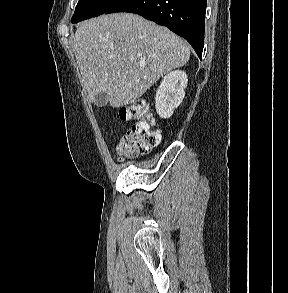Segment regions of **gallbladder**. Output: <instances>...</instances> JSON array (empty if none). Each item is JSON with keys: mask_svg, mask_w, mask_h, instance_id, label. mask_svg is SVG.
Listing matches in <instances>:
<instances>
[{"mask_svg": "<svg viewBox=\"0 0 288 293\" xmlns=\"http://www.w3.org/2000/svg\"><path fill=\"white\" fill-rule=\"evenodd\" d=\"M108 103V96L105 92H99L94 100V104L98 107H104Z\"/></svg>", "mask_w": 288, "mask_h": 293, "instance_id": "obj_1", "label": "gallbladder"}]
</instances>
